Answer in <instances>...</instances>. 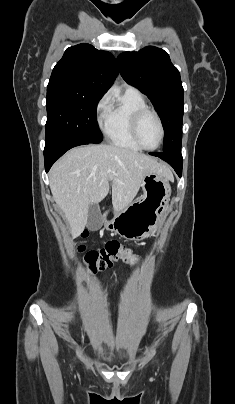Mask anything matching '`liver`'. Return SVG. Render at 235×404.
Returning <instances> with one entry per match:
<instances>
[{"mask_svg":"<svg viewBox=\"0 0 235 404\" xmlns=\"http://www.w3.org/2000/svg\"><path fill=\"white\" fill-rule=\"evenodd\" d=\"M149 173L173 179L167 165L143 153L106 144L79 146L52 166L50 189L72 236L77 237L87 224L90 205L108 195L110 183L113 208L121 211L132 203Z\"/></svg>","mask_w":235,"mask_h":404,"instance_id":"obj_1","label":"liver"}]
</instances>
